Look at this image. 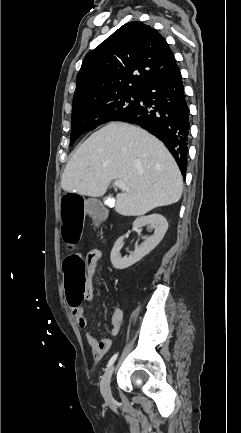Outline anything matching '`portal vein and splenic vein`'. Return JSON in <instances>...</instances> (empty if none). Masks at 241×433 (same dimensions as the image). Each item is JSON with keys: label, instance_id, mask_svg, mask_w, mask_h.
<instances>
[{"label": "portal vein and splenic vein", "instance_id": "18ae733b", "mask_svg": "<svg viewBox=\"0 0 241 433\" xmlns=\"http://www.w3.org/2000/svg\"><path fill=\"white\" fill-rule=\"evenodd\" d=\"M114 184H115V186H116L117 188H120V189H122V190H125V191H127V192H130L129 187H127L126 184H125L122 180H116V181L114 182Z\"/></svg>", "mask_w": 241, "mask_h": 433}]
</instances>
